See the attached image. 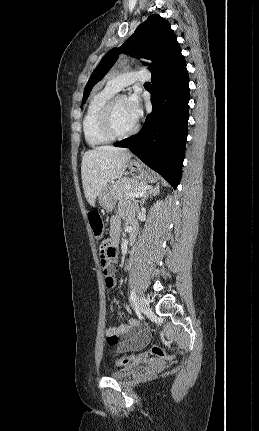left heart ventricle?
<instances>
[{
    "label": "left heart ventricle",
    "instance_id": "obj_1",
    "mask_svg": "<svg viewBox=\"0 0 259 431\" xmlns=\"http://www.w3.org/2000/svg\"><path fill=\"white\" fill-rule=\"evenodd\" d=\"M114 124L118 131L125 132L130 130L135 121L130 117L126 108V99H120L114 108Z\"/></svg>",
    "mask_w": 259,
    "mask_h": 431
}]
</instances>
